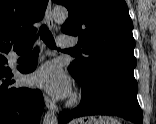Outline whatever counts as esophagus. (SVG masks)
<instances>
[{
  "mask_svg": "<svg viewBox=\"0 0 156 124\" xmlns=\"http://www.w3.org/2000/svg\"><path fill=\"white\" fill-rule=\"evenodd\" d=\"M45 21L50 29L54 27V21L52 18V3L48 2L46 12H45ZM45 105L52 110L53 112H58V107L54 101H52L48 96L44 95Z\"/></svg>",
  "mask_w": 156,
  "mask_h": 124,
  "instance_id": "esophagus-1",
  "label": "esophagus"
}]
</instances>
